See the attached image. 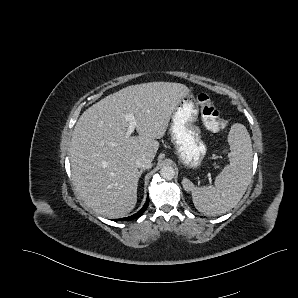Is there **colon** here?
Segmentation results:
<instances>
[{
  "instance_id": "5ec220e1",
  "label": "colon",
  "mask_w": 298,
  "mask_h": 298,
  "mask_svg": "<svg viewBox=\"0 0 298 298\" xmlns=\"http://www.w3.org/2000/svg\"><path fill=\"white\" fill-rule=\"evenodd\" d=\"M200 114L204 126L213 132L225 129L229 121L221 115V113L216 109L211 96L207 93H200L197 97Z\"/></svg>"
}]
</instances>
